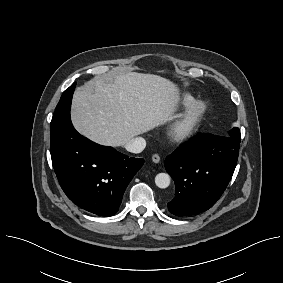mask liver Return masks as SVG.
Segmentation results:
<instances>
[{
  "label": "liver",
  "mask_w": 283,
  "mask_h": 283,
  "mask_svg": "<svg viewBox=\"0 0 283 283\" xmlns=\"http://www.w3.org/2000/svg\"><path fill=\"white\" fill-rule=\"evenodd\" d=\"M179 99L172 81L130 72L109 80L93 79L79 87L71 118L76 130L92 141L124 147L135 136L172 120Z\"/></svg>",
  "instance_id": "1"
}]
</instances>
